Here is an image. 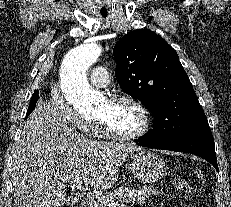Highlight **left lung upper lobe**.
<instances>
[{"label":"left lung upper lobe","instance_id":"5c2ea615","mask_svg":"<svg viewBox=\"0 0 231 207\" xmlns=\"http://www.w3.org/2000/svg\"><path fill=\"white\" fill-rule=\"evenodd\" d=\"M121 89L152 112L154 128L143 136L157 144L211 134L207 118L176 51L150 30H135L115 45Z\"/></svg>","mask_w":231,"mask_h":207}]
</instances>
